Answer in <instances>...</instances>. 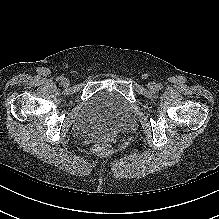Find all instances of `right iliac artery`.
<instances>
[{"instance_id": "1", "label": "right iliac artery", "mask_w": 219, "mask_h": 219, "mask_svg": "<svg viewBox=\"0 0 219 219\" xmlns=\"http://www.w3.org/2000/svg\"><path fill=\"white\" fill-rule=\"evenodd\" d=\"M64 77L60 76L57 78V81H62Z\"/></svg>"}]
</instances>
